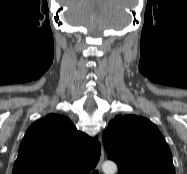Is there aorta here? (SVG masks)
I'll list each match as a JSON object with an SVG mask.
<instances>
[{"mask_svg": "<svg viewBox=\"0 0 187 174\" xmlns=\"http://www.w3.org/2000/svg\"><path fill=\"white\" fill-rule=\"evenodd\" d=\"M102 169L105 174H114L117 170V166L114 162L106 161L104 162Z\"/></svg>", "mask_w": 187, "mask_h": 174, "instance_id": "1", "label": "aorta"}]
</instances>
